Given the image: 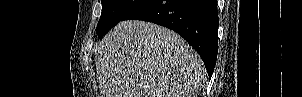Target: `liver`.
Returning a JSON list of instances; mask_svg holds the SVG:
<instances>
[{
  "instance_id": "6515ba94",
  "label": "liver",
  "mask_w": 302,
  "mask_h": 97,
  "mask_svg": "<svg viewBox=\"0 0 302 97\" xmlns=\"http://www.w3.org/2000/svg\"><path fill=\"white\" fill-rule=\"evenodd\" d=\"M100 97H198L202 59L177 33L144 21H122L96 53Z\"/></svg>"
}]
</instances>
